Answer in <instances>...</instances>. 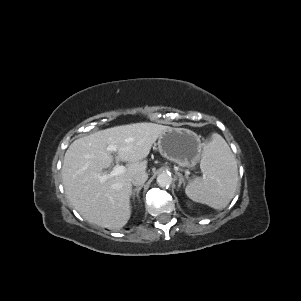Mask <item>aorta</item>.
Masks as SVG:
<instances>
[{
	"instance_id": "aorta-1",
	"label": "aorta",
	"mask_w": 301,
	"mask_h": 301,
	"mask_svg": "<svg viewBox=\"0 0 301 301\" xmlns=\"http://www.w3.org/2000/svg\"><path fill=\"white\" fill-rule=\"evenodd\" d=\"M172 183V176L170 173L164 172L157 176V184L162 187H169Z\"/></svg>"
}]
</instances>
